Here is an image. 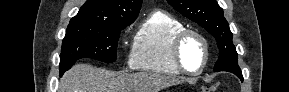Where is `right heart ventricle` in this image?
I'll list each match as a JSON object with an SVG mask.
<instances>
[{
    "label": "right heart ventricle",
    "instance_id": "obj_1",
    "mask_svg": "<svg viewBox=\"0 0 289 92\" xmlns=\"http://www.w3.org/2000/svg\"><path fill=\"white\" fill-rule=\"evenodd\" d=\"M184 25L164 12L150 14L141 25L132 47L134 69L176 76L181 73L172 57V43Z\"/></svg>",
    "mask_w": 289,
    "mask_h": 92
}]
</instances>
